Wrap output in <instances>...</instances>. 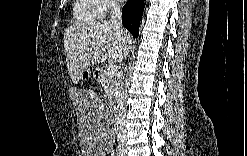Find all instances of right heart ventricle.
Listing matches in <instances>:
<instances>
[{"instance_id": "obj_1", "label": "right heart ventricle", "mask_w": 247, "mask_h": 156, "mask_svg": "<svg viewBox=\"0 0 247 156\" xmlns=\"http://www.w3.org/2000/svg\"><path fill=\"white\" fill-rule=\"evenodd\" d=\"M102 5L96 0H79L74 3L73 16L80 22H92L103 17Z\"/></svg>"}]
</instances>
